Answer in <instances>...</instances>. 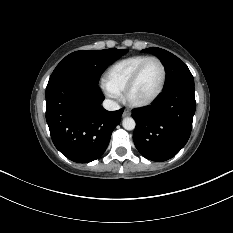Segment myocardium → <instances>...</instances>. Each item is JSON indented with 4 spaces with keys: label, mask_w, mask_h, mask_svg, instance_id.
Wrapping results in <instances>:
<instances>
[{
    "label": "myocardium",
    "mask_w": 233,
    "mask_h": 233,
    "mask_svg": "<svg viewBox=\"0 0 233 233\" xmlns=\"http://www.w3.org/2000/svg\"><path fill=\"white\" fill-rule=\"evenodd\" d=\"M150 61H156L161 66L162 80H161L160 87L158 88L156 93L153 96H151L149 99L144 100V101H139V102L132 101L129 97L130 92L133 89L134 85L136 84L137 80L139 79L144 67ZM166 81H167V69H166L164 62L158 57H154V56L148 57L138 65V67L135 69V71L133 72V74L129 78V80L125 86V89H124V100L128 105H130L132 107H136V108L149 106L160 97V95L164 91Z\"/></svg>",
    "instance_id": "myocardium-1"
}]
</instances>
